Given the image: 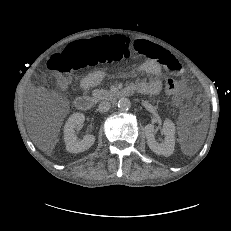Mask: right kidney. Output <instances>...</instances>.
<instances>
[{
	"label": "right kidney",
	"mask_w": 231,
	"mask_h": 231,
	"mask_svg": "<svg viewBox=\"0 0 231 231\" xmlns=\"http://www.w3.org/2000/svg\"><path fill=\"white\" fill-rule=\"evenodd\" d=\"M85 120L83 113L72 114L64 126V141L66 149L70 153H79L88 150L95 142V136L86 135L78 140L75 135V128L82 125Z\"/></svg>",
	"instance_id": "obj_1"
}]
</instances>
